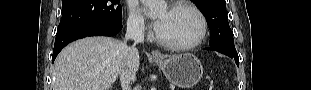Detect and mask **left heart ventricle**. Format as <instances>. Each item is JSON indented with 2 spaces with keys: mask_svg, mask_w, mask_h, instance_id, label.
I'll return each mask as SVG.
<instances>
[{
  "mask_svg": "<svg viewBox=\"0 0 311 90\" xmlns=\"http://www.w3.org/2000/svg\"><path fill=\"white\" fill-rule=\"evenodd\" d=\"M162 26L158 30L161 38L171 43H189L196 39L200 32L197 16L187 9H163L158 14Z\"/></svg>",
  "mask_w": 311,
  "mask_h": 90,
  "instance_id": "obj_1",
  "label": "left heart ventricle"
}]
</instances>
